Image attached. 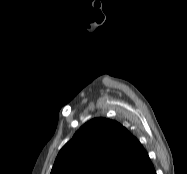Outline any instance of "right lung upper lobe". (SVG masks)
Segmentation results:
<instances>
[{"instance_id": "right-lung-upper-lobe-1", "label": "right lung upper lobe", "mask_w": 187, "mask_h": 174, "mask_svg": "<svg viewBox=\"0 0 187 174\" xmlns=\"http://www.w3.org/2000/svg\"><path fill=\"white\" fill-rule=\"evenodd\" d=\"M140 142L120 123L94 118L60 150L51 174H152Z\"/></svg>"}]
</instances>
